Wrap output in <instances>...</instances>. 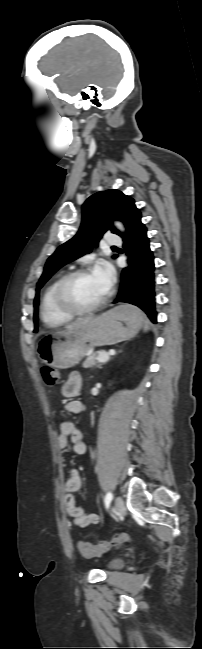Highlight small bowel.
Here are the masks:
<instances>
[{
	"mask_svg": "<svg viewBox=\"0 0 202 649\" xmlns=\"http://www.w3.org/2000/svg\"><path fill=\"white\" fill-rule=\"evenodd\" d=\"M82 385V379L79 373L73 372L62 386V394L67 398L75 397ZM65 410L70 414H79L83 411V404L79 400L71 399L65 404ZM69 442L75 455L82 456L86 453L87 447L83 441L82 432L77 429L73 422L63 421L60 424V431L57 437V447L59 450L67 448ZM62 460V459H61ZM82 478L77 470H73L71 475L64 483L63 490L64 506L67 513L71 516L73 523L79 527L98 524L100 517L96 513H86L81 507L77 506L74 493L80 490Z\"/></svg>",
	"mask_w": 202,
	"mask_h": 649,
	"instance_id": "small-bowel-1",
	"label": "small bowel"
}]
</instances>
